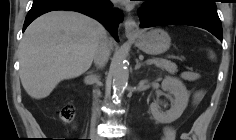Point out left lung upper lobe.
<instances>
[{
  "label": "left lung upper lobe",
  "instance_id": "5c2ea615",
  "mask_svg": "<svg viewBox=\"0 0 236 140\" xmlns=\"http://www.w3.org/2000/svg\"><path fill=\"white\" fill-rule=\"evenodd\" d=\"M152 1V0H147V2ZM166 2L169 5H173L179 2H189V3H194V4H199V5H204L208 7H215V0H162Z\"/></svg>",
  "mask_w": 236,
  "mask_h": 140
}]
</instances>
